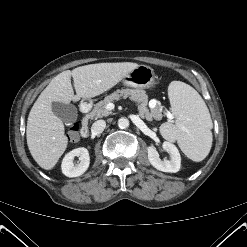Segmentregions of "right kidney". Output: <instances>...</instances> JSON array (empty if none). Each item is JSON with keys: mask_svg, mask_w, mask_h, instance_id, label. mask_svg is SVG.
<instances>
[{"mask_svg": "<svg viewBox=\"0 0 247 247\" xmlns=\"http://www.w3.org/2000/svg\"><path fill=\"white\" fill-rule=\"evenodd\" d=\"M78 157L79 161L74 164V158ZM90 156L86 148H76L70 151L63 158L61 169L62 173L67 177H78L82 175L89 167Z\"/></svg>", "mask_w": 247, "mask_h": 247, "instance_id": "1", "label": "right kidney"}]
</instances>
